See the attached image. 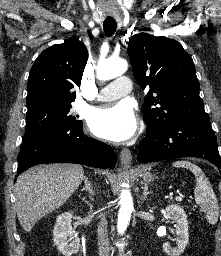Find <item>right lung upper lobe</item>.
<instances>
[{
	"mask_svg": "<svg viewBox=\"0 0 221 256\" xmlns=\"http://www.w3.org/2000/svg\"><path fill=\"white\" fill-rule=\"evenodd\" d=\"M88 51L78 39L44 50L31 68L27 83L28 110L42 105H71L80 86Z\"/></svg>",
	"mask_w": 221,
	"mask_h": 256,
	"instance_id": "cb5924a9",
	"label": "right lung upper lobe"
}]
</instances>
